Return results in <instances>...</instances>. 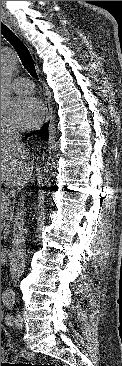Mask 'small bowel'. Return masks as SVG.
Segmentation results:
<instances>
[{"mask_svg":"<svg viewBox=\"0 0 122 366\" xmlns=\"http://www.w3.org/2000/svg\"><path fill=\"white\" fill-rule=\"evenodd\" d=\"M3 260H2V258H1V262H2ZM1 319H2V312H1Z\"/></svg>","mask_w":122,"mask_h":366,"instance_id":"c3829d8e","label":"small bowel"}]
</instances>
